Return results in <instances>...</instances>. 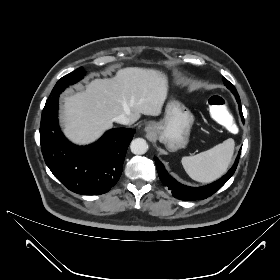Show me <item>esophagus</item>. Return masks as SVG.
I'll use <instances>...</instances> for the list:
<instances>
[{
	"label": "esophagus",
	"mask_w": 280,
	"mask_h": 280,
	"mask_svg": "<svg viewBox=\"0 0 280 280\" xmlns=\"http://www.w3.org/2000/svg\"><path fill=\"white\" fill-rule=\"evenodd\" d=\"M145 131H146L148 134L153 135V134H155V132H156V127H155V125H153V124H148V125L145 127Z\"/></svg>",
	"instance_id": "1"
}]
</instances>
